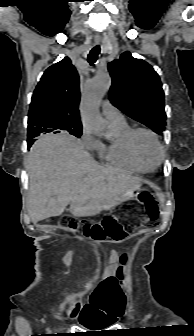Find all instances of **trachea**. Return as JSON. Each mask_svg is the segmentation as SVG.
Wrapping results in <instances>:
<instances>
[{"mask_svg": "<svg viewBox=\"0 0 194 336\" xmlns=\"http://www.w3.org/2000/svg\"><path fill=\"white\" fill-rule=\"evenodd\" d=\"M100 53V46L96 45L95 47L92 48V50L90 51L89 55H88V62L91 65H94V63L96 62L98 55Z\"/></svg>", "mask_w": 194, "mask_h": 336, "instance_id": "trachea-1", "label": "trachea"}]
</instances>
